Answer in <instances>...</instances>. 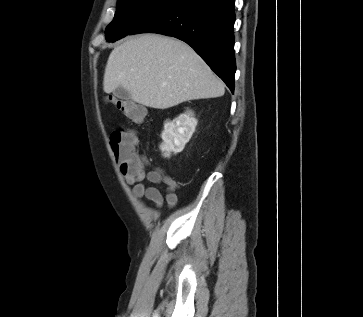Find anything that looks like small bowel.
Instances as JSON below:
<instances>
[{"label": "small bowel", "instance_id": "obj_1", "mask_svg": "<svg viewBox=\"0 0 363 317\" xmlns=\"http://www.w3.org/2000/svg\"><path fill=\"white\" fill-rule=\"evenodd\" d=\"M121 175L127 184L132 186V193L136 198H147L155 207H161L164 198L159 189L155 186H147L143 183L146 179L152 184L165 183L166 185V202L169 207L177 204L176 190L178 189L177 181L167 176L163 170L154 169L149 172L145 171L144 163L139 169L121 168Z\"/></svg>", "mask_w": 363, "mask_h": 317}]
</instances>
